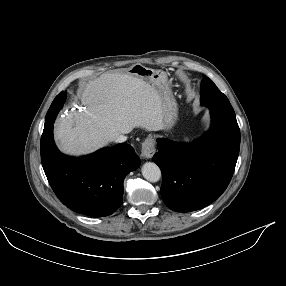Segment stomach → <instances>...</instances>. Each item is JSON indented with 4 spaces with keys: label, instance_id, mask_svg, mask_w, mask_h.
<instances>
[{
    "label": "stomach",
    "instance_id": "0dacf381",
    "mask_svg": "<svg viewBox=\"0 0 286 286\" xmlns=\"http://www.w3.org/2000/svg\"><path fill=\"white\" fill-rule=\"evenodd\" d=\"M128 73L154 85L163 97L165 105V130H169L177 119V103L169 88L167 75L162 70L151 69L142 64H134Z\"/></svg>",
    "mask_w": 286,
    "mask_h": 286
}]
</instances>
